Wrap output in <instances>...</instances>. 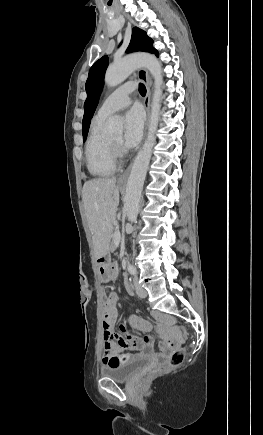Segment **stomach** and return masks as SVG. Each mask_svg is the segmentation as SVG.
Returning a JSON list of instances; mask_svg holds the SVG:
<instances>
[{
    "instance_id": "obj_1",
    "label": "stomach",
    "mask_w": 263,
    "mask_h": 435,
    "mask_svg": "<svg viewBox=\"0 0 263 435\" xmlns=\"http://www.w3.org/2000/svg\"><path fill=\"white\" fill-rule=\"evenodd\" d=\"M97 262H98L97 263L98 274L100 275V277L103 278L105 282H112L113 279H114V276L108 270L109 269V264H110V259H109L108 252H106L101 257H98L97 258Z\"/></svg>"
}]
</instances>
